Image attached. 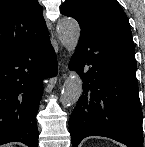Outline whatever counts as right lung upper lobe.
I'll return each mask as SVG.
<instances>
[{
  "label": "right lung upper lobe",
  "mask_w": 145,
  "mask_h": 147,
  "mask_svg": "<svg viewBox=\"0 0 145 147\" xmlns=\"http://www.w3.org/2000/svg\"><path fill=\"white\" fill-rule=\"evenodd\" d=\"M49 32L37 0H0V58Z\"/></svg>",
  "instance_id": "right-lung-upper-lobe-1"
}]
</instances>
